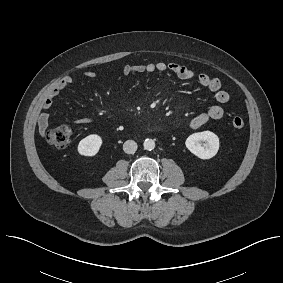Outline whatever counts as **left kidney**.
Here are the masks:
<instances>
[{
    "instance_id": "5707ae66",
    "label": "left kidney",
    "mask_w": 283,
    "mask_h": 283,
    "mask_svg": "<svg viewBox=\"0 0 283 283\" xmlns=\"http://www.w3.org/2000/svg\"><path fill=\"white\" fill-rule=\"evenodd\" d=\"M202 142H205L202 145ZM187 149L200 159H210L219 150V138L211 131L191 134L185 141Z\"/></svg>"
}]
</instances>
